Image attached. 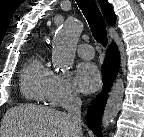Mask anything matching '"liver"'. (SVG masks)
Masks as SVG:
<instances>
[{
    "instance_id": "obj_1",
    "label": "liver",
    "mask_w": 144,
    "mask_h": 137,
    "mask_svg": "<svg viewBox=\"0 0 144 137\" xmlns=\"http://www.w3.org/2000/svg\"><path fill=\"white\" fill-rule=\"evenodd\" d=\"M1 137H80L65 112L24 104L10 108L4 115Z\"/></svg>"
}]
</instances>
